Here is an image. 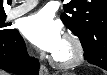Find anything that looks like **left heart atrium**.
Masks as SVG:
<instances>
[{
  "label": "left heart atrium",
  "mask_w": 107,
  "mask_h": 75,
  "mask_svg": "<svg viewBox=\"0 0 107 75\" xmlns=\"http://www.w3.org/2000/svg\"><path fill=\"white\" fill-rule=\"evenodd\" d=\"M22 30L33 44L52 54L59 49L64 39L61 24L45 10L27 17Z\"/></svg>",
  "instance_id": "39dd6f15"
}]
</instances>
